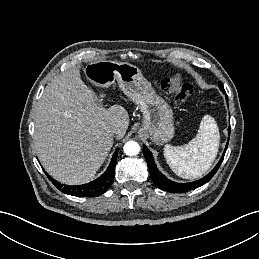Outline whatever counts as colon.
<instances>
[{
	"label": "colon",
	"instance_id": "colon-1",
	"mask_svg": "<svg viewBox=\"0 0 259 259\" xmlns=\"http://www.w3.org/2000/svg\"><path fill=\"white\" fill-rule=\"evenodd\" d=\"M162 88L167 93L174 95L178 103L196 99L194 87L190 83L183 82L178 75L165 78L162 82Z\"/></svg>",
	"mask_w": 259,
	"mask_h": 259
}]
</instances>
